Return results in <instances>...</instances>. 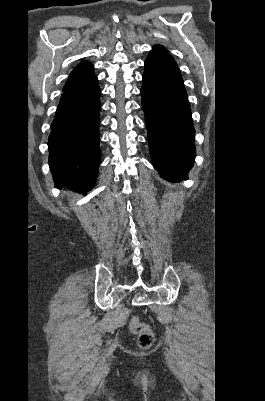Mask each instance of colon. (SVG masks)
Segmentation results:
<instances>
[{
    "instance_id": "1",
    "label": "colon",
    "mask_w": 265,
    "mask_h": 401,
    "mask_svg": "<svg viewBox=\"0 0 265 401\" xmlns=\"http://www.w3.org/2000/svg\"><path fill=\"white\" fill-rule=\"evenodd\" d=\"M131 331L138 336V344L141 348H149L154 341V334L149 325L133 317L130 321Z\"/></svg>"
}]
</instances>
